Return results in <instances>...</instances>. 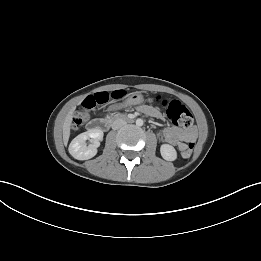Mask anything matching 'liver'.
I'll return each instance as SVG.
<instances>
[{"instance_id":"6515ba94","label":"liver","mask_w":261,"mask_h":261,"mask_svg":"<svg viewBox=\"0 0 261 261\" xmlns=\"http://www.w3.org/2000/svg\"><path fill=\"white\" fill-rule=\"evenodd\" d=\"M75 111V107H73L68 114L65 117L64 123H63V142L65 145H67L69 137H70V129H71V124L73 120V113Z\"/></svg>"}]
</instances>
